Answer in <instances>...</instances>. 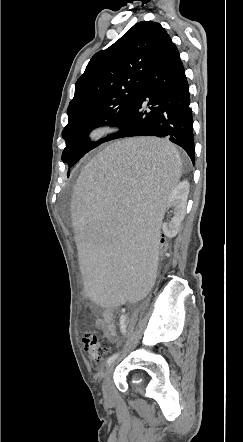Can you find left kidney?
I'll return each mask as SVG.
<instances>
[{
  "instance_id": "left-kidney-1",
  "label": "left kidney",
  "mask_w": 243,
  "mask_h": 442,
  "mask_svg": "<svg viewBox=\"0 0 243 442\" xmlns=\"http://www.w3.org/2000/svg\"><path fill=\"white\" fill-rule=\"evenodd\" d=\"M189 193V184L187 181L179 183L170 193L164 205L174 208V216L170 222L162 224L163 232L167 233L168 238H173L177 235L182 220L186 213L187 197Z\"/></svg>"
}]
</instances>
